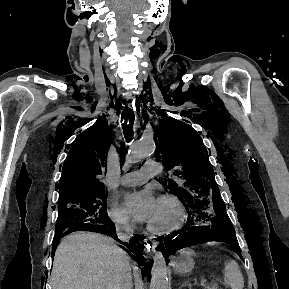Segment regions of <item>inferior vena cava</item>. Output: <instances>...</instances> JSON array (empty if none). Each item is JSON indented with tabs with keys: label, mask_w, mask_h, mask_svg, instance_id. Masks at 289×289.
Segmentation results:
<instances>
[{
	"label": "inferior vena cava",
	"mask_w": 289,
	"mask_h": 289,
	"mask_svg": "<svg viewBox=\"0 0 289 289\" xmlns=\"http://www.w3.org/2000/svg\"><path fill=\"white\" fill-rule=\"evenodd\" d=\"M118 236L122 239L128 240L133 236V227L129 224L117 226ZM132 275L129 263L125 264L121 271L120 283L118 289H132Z\"/></svg>",
	"instance_id": "obj_1"
}]
</instances>
